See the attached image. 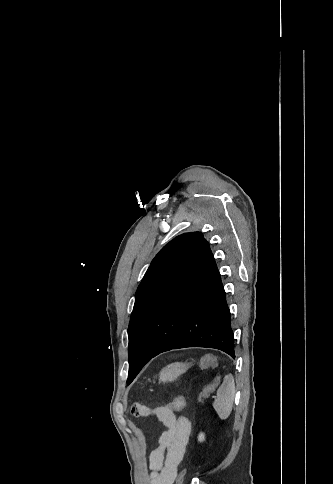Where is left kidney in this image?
I'll return each instance as SVG.
<instances>
[{
  "label": "left kidney",
  "mask_w": 333,
  "mask_h": 484,
  "mask_svg": "<svg viewBox=\"0 0 333 484\" xmlns=\"http://www.w3.org/2000/svg\"><path fill=\"white\" fill-rule=\"evenodd\" d=\"M204 439H205V435L203 433H200L199 436H198V440L200 442H202V441H204Z\"/></svg>",
  "instance_id": "obj_1"
}]
</instances>
